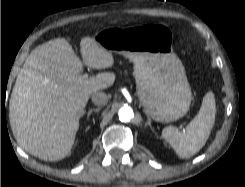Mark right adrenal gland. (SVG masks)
<instances>
[{
  "mask_svg": "<svg viewBox=\"0 0 245 187\" xmlns=\"http://www.w3.org/2000/svg\"><path fill=\"white\" fill-rule=\"evenodd\" d=\"M100 110H101V108H100V107H99V108L89 109V111H88V119H89L90 115H91L93 112H97V113H99V112H100Z\"/></svg>",
  "mask_w": 245,
  "mask_h": 187,
  "instance_id": "2a0ac1e0",
  "label": "right adrenal gland"
}]
</instances>
